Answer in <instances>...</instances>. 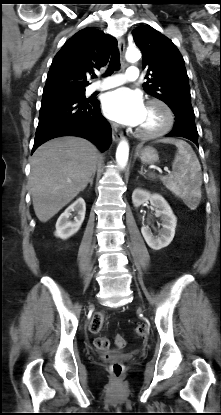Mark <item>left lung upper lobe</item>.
Masks as SVG:
<instances>
[{
  "label": "left lung upper lobe",
  "instance_id": "5c2ea615",
  "mask_svg": "<svg viewBox=\"0 0 221 415\" xmlns=\"http://www.w3.org/2000/svg\"><path fill=\"white\" fill-rule=\"evenodd\" d=\"M132 34L143 55V69H147L144 90L165 102L175 116L194 114L185 62L177 47L149 25L134 29Z\"/></svg>",
  "mask_w": 221,
  "mask_h": 415
}]
</instances>
